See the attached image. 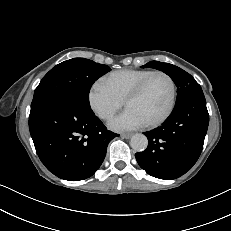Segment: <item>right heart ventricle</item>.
Returning <instances> with one entry per match:
<instances>
[{"mask_svg":"<svg viewBox=\"0 0 231 231\" xmlns=\"http://www.w3.org/2000/svg\"><path fill=\"white\" fill-rule=\"evenodd\" d=\"M153 70L149 69H123L114 71L103 78V82L122 101L129 93Z\"/></svg>","mask_w":231,"mask_h":231,"instance_id":"1","label":"right heart ventricle"}]
</instances>
